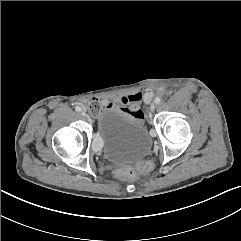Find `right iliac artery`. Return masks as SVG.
<instances>
[{
  "mask_svg": "<svg viewBox=\"0 0 241 241\" xmlns=\"http://www.w3.org/2000/svg\"><path fill=\"white\" fill-rule=\"evenodd\" d=\"M75 110H76L77 112H80L82 109H81V107L77 106V107L75 108Z\"/></svg>",
  "mask_w": 241,
  "mask_h": 241,
  "instance_id": "obj_1",
  "label": "right iliac artery"
}]
</instances>
